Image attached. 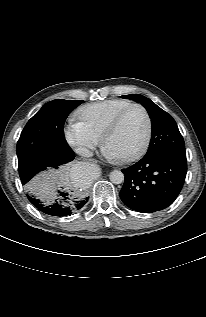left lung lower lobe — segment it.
<instances>
[{"label":"left lung lower lobe","instance_id":"1","mask_svg":"<svg viewBox=\"0 0 206 317\" xmlns=\"http://www.w3.org/2000/svg\"><path fill=\"white\" fill-rule=\"evenodd\" d=\"M122 172L123 203L138 212H156L171 205L179 195L187 173L186 155L176 152L145 155Z\"/></svg>","mask_w":206,"mask_h":317}]
</instances>
